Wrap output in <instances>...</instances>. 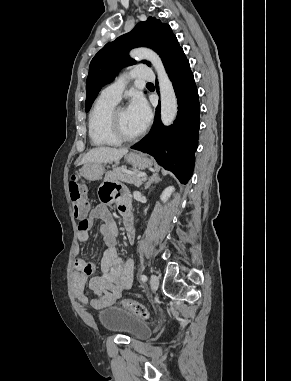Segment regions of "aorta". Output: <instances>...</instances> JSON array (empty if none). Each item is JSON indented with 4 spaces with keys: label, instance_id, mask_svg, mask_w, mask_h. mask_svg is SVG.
<instances>
[{
    "label": "aorta",
    "instance_id": "762f6f07",
    "mask_svg": "<svg viewBox=\"0 0 291 381\" xmlns=\"http://www.w3.org/2000/svg\"><path fill=\"white\" fill-rule=\"evenodd\" d=\"M131 57L135 59H146L155 68L158 76L161 97V121L164 125H170L176 118L178 105L173 85L165 71L160 57L151 49L137 48L131 51Z\"/></svg>",
    "mask_w": 291,
    "mask_h": 381
}]
</instances>
